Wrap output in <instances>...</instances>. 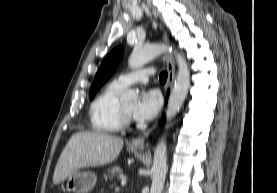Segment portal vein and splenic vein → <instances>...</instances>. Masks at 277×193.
I'll use <instances>...</instances> for the list:
<instances>
[{"mask_svg": "<svg viewBox=\"0 0 277 193\" xmlns=\"http://www.w3.org/2000/svg\"><path fill=\"white\" fill-rule=\"evenodd\" d=\"M121 185H126V179H125V178H123V179L121 180Z\"/></svg>", "mask_w": 277, "mask_h": 193, "instance_id": "portal-vein-and-splenic-vein-1", "label": "portal vein and splenic vein"}]
</instances>
